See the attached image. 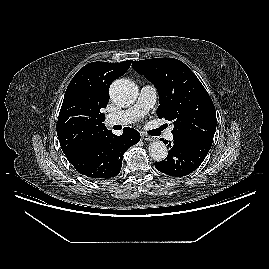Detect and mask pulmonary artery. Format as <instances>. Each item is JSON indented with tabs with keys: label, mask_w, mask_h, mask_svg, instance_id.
Returning <instances> with one entry per match:
<instances>
[{
	"label": "pulmonary artery",
	"mask_w": 269,
	"mask_h": 269,
	"mask_svg": "<svg viewBox=\"0 0 269 269\" xmlns=\"http://www.w3.org/2000/svg\"><path fill=\"white\" fill-rule=\"evenodd\" d=\"M157 98V90L153 85H144L139 93L138 100L134 106L127 110L108 114L105 118L107 125H128L143 117L153 107ZM165 138L171 140L173 134L168 130Z\"/></svg>",
	"instance_id": "e3ab8cb5"
}]
</instances>
